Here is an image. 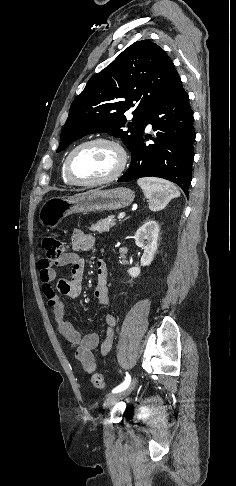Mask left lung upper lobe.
Wrapping results in <instances>:
<instances>
[{
	"mask_svg": "<svg viewBox=\"0 0 236 486\" xmlns=\"http://www.w3.org/2000/svg\"><path fill=\"white\" fill-rule=\"evenodd\" d=\"M178 78L160 46L150 40L135 42L91 77L74 99L57 152L85 135L100 132L121 138L131 151L143 135L151 106ZM130 109L132 122L124 115Z\"/></svg>",
	"mask_w": 236,
	"mask_h": 486,
	"instance_id": "left-lung-upper-lobe-1",
	"label": "left lung upper lobe"
}]
</instances>
